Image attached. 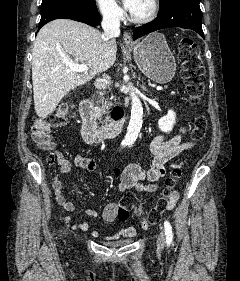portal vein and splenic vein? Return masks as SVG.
I'll use <instances>...</instances> for the list:
<instances>
[{
	"mask_svg": "<svg viewBox=\"0 0 240 281\" xmlns=\"http://www.w3.org/2000/svg\"><path fill=\"white\" fill-rule=\"evenodd\" d=\"M66 64L71 71L85 73V72H88V70H89V68L83 64L79 65V64H75V63H71V62H67ZM155 88H156V90H163L162 86H156Z\"/></svg>",
	"mask_w": 240,
	"mask_h": 281,
	"instance_id": "18ae733b",
	"label": "portal vein and splenic vein"
}]
</instances>
